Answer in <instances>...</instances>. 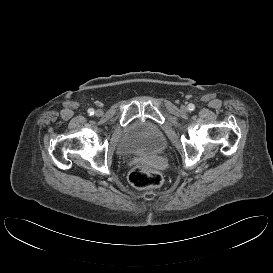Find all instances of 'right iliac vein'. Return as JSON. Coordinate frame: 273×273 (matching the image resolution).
I'll use <instances>...</instances> for the list:
<instances>
[{
	"label": "right iliac vein",
	"mask_w": 273,
	"mask_h": 273,
	"mask_svg": "<svg viewBox=\"0 0 273 273\" xmlns=\"http://www.w3.org/2000/svg\"><path fill=\"white\" fill-rule=\"evenodd\" d=\"M102 114H103L102 110L99 109L96 111V115L101 116Z\"/></svg>",
	"instance_id": "obj_1"
}]
</instances>
